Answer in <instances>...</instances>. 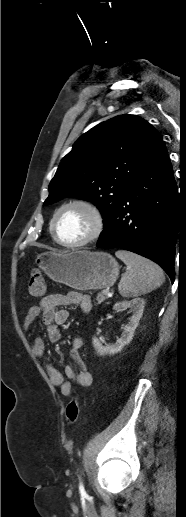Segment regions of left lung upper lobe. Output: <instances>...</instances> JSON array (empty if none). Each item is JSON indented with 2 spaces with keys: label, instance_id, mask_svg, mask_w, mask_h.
<instances>
[{
  "label": "left lung upper lobe",
  "instance_id": "1",
  "mask_svg": "<svg viewBox=\"0 0 186 517\" xmlns=\"http://www.w3.org/2000/svg\"><path fill=\"white\" fill-rule=\"evenodd\" d=\"M162 143L158 131L136 115L98 124L62 159L44 205L64 196L83 198L99 208L106 224Z\"/></svg>",
  "mask_w": 186,
  "mask_h": 517
}]
</instances>
